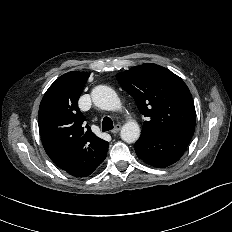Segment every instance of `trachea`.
Instances as JSON below:
<instances>
[{"instance_id":"obj_1","label":"trachea","mask_w":232,"mask_h":232,"mask_svg":"<svg viewBox=\"0 0 232 232\" xmlns=\"http://www.w3.org/2000/svg\"><path fill=\"white\" fill-rule=\"evenodd\" d=\"M113 121L109 117H104L102 121V131H109L113 129Z\"/></svg>"}]
</instances>
